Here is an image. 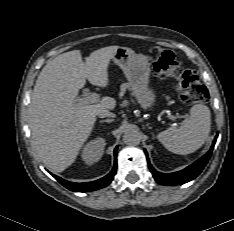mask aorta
Wrapping results in <instances>:
<instances>
[{
	"label": "aorta",
	"mask_w": 234,
	"mask_h": 231,
	"mask_svg": "<svg viewBox=\"0 0 234 231\" xmlns=\"http://www.w3.org/2000/svg\"><path fill=\"white\" fill-rule=\"evenodd\" d=\"M141 141V133L135 128H128L123 135V142L129 146H137Z\"/></svg>",
	"instance_id": "aorta-1"
}]
</instances>
